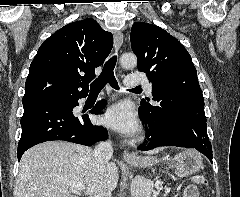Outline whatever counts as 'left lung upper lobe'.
<instances>
[{"label":"left lung upper lobe","mask_w":240,"mask_h":197,"mask_svg":"<svg viewBox=\"0 0 240 197\" xmlns=\"http://www.w3.org/2000/svg\"><path fill=\"white\" fill-rule=\"evenodd\" d=\"M130 39L139 71L145 72L152 82L153 100L158 106L170 105L182 94L203 98L191 56L175 37L158 26L136 22ZM140 105L146 112L156 107L145 100Z\"/></svg>","instance_id":"obj_1"}]
</instances>
